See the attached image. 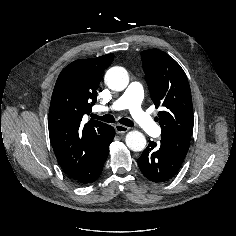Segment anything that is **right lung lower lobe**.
I'll use <instances>...</instances> for the list:
<instances>
[{
    "label": "right lung lower lobe",
    "instance_id": "1",
    "mask_svg": "<svg viewBox=\"0 0 236 236\" xmlns=\"http://www.w3.org/2000/svg\"><path fill=\"white\" fill-rule=\"evenodd\" d=\"M115 136V130L109 126L105 135L101 139L100 146L85 165V167L75 176L71 177L79 184H88L94 182L101 174L103 165L108 157L109 145Z\"/></svg>",
    "mask_w": 236,
    "mask_h": 236
}]
</instances>
